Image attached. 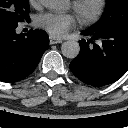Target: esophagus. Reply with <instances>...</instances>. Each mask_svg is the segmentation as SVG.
<instances>
[{"label": "esophagus", "instance_id": "1", "mask_svg": "<svg viewBox=\"0 0 128 128\" xmlns=\"http://www.w3.org/2000/svg\"><path fill=\"white\" fill-rule=\"evenodd\" d=\"M49 42L50 44H57V43H61L62 39L54 37V36H49Z\"/></svg>", "mask_w": 128, "mask_h": 128}]
</instances>
